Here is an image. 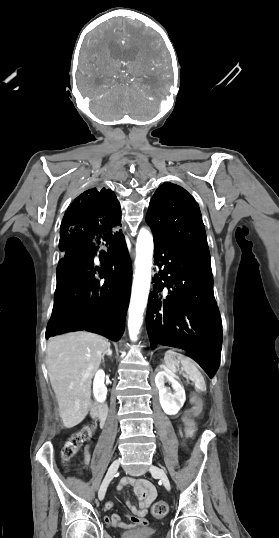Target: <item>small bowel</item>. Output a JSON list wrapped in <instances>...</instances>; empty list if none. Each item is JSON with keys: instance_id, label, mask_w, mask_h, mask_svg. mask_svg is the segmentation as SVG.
Returning a JSON list of instances; mask_svg holds the SVG:
<instances>
[{"instance_id": "small-bowel-1", "label": "small bowel", "mask_w": 279, "mask_h": 538, "mask_svg": "<svg viewBox=\"0 0 279 538\" xmlns=\"http://www.w3.org/2000/svg\"><path fill=\"white\" fill-rule=\"evenodd\" d=\"M90 455L88 450H85L83 454V463L87 464L89 462ZM127 486H133L136 492V495L139 500V507H136L131 504L130 501L126 502V506L131 512L128 515L130 524L123 522L121 517L118 514H113L111 516H106L104 518L105 522L112 527L123 528V529H141L147 525V521L144 518L148 507L153 503L156 498V489L154 485L145 479H134L131 477H124L118 483L116 489L121 491ZM114 507L112 501H107L105 503V510H110Z\"/></svg>"}]
</instances>
